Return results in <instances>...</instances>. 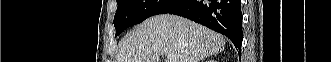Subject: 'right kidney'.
<instances>
[{
	"instance_id": "obj_1",
	"label": "right kidney",
	"mask_w": 331,
	"mask_h": 62,
	"mask_svg": "<svg viewBox=\"0 0 331 62\" xmlns=\"http://www.w3.org/2000/svg\"><path fill=\"white\" fill-rule=\"evenodd\" d=\"M210 62H214V60H210Z\"/></svg>"
}]
</instances>
